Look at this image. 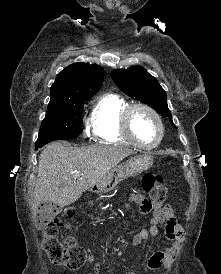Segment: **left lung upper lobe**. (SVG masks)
Listing matches in <instances>:
<instances>
[{"mask_svg":"<svg viewBox=\"0 0 221 274\" xmlns=\"http://www.w3.org/2000/svg\"><path fill=\"white\" fill-rule=\"evenodd\" d=\"M111 77L123 92L148 104L162 116H168L171 124L175 126L167 106L166 92L157 79L143 67L135 66L126 70L117 69L111 72Z\"/></svg>","mask_w":221,"mask_h":274,"instance_id":"1","label":"left lung upper lobe"}]
</instances>
